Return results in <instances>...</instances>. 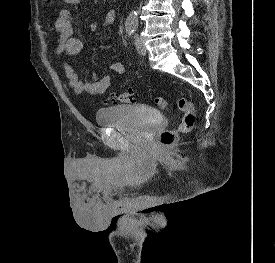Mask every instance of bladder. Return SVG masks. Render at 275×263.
<instances>
[{
	"mask_svg": "<svg viewBox=\"0 0 275 263\" xmlns=\"http://www.w3.org/2000/svg\"><path fill=\"white\" fill-rule=\"evenodd\" d=\"M160 119L159 111L147 105L104 107L95 112V120L100 127H115L130 131L155 126Z\"/></svg>",
	"mask_w": 275,
	"mask_h": 263,
	"instance_id": "1",
	"label": "bladder"
}]
</instances>
